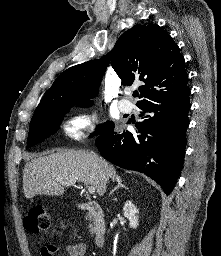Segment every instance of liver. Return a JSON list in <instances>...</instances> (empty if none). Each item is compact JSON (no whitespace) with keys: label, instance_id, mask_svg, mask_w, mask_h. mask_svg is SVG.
Listing matches in <instances>:
<instances>
[{"label":"liver","instance_id":"liver-1","mask_svg":"<svg viewBox=\"0 0 221 256\" xmlns=\"http://www.w3.org/2000/svg\"><path fill=\"white\" fill-rule=\"evenodd\" d=\"M117 177L115 168L88 151L68 150L38 157L23 170V192L27 199L36 195H63L61 182L76 180L93 186L99 196L106 192V178Z\"/></svg>","mask_w":221,"mask_h":256}]
</instances>
